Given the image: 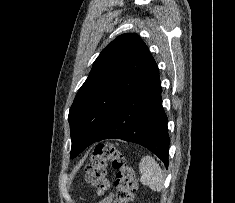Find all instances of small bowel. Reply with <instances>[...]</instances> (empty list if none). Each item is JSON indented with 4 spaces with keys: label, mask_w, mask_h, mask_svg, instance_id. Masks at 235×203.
<instances>
[{
    "label": "small bowel",
    "mask_w": 235,
    "mask_h": 203,
    "mask_svg": "<svg viewBox=\"0 0 235 203\" xmlns=\"http://www.w3.org/2000/svg\"><path fill=\"white\" fill-rule=\"evenodd\" d=\"M98 203H112V195H108L106 198L99 201Z\"/></svg>",
    "instance_id": "c3829d8e"
}]
</instances>
